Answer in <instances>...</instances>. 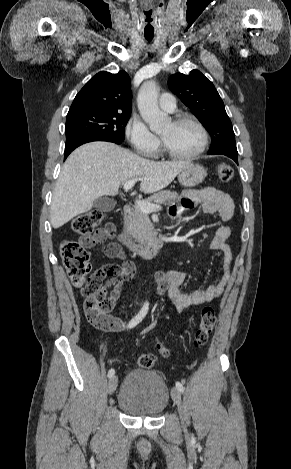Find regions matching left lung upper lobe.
Masks as SVG:
<instances>
[{"label":"left lung upper lobe","instance_id":"5c2ea615","mask_svg":"<svg viewBox=\"0 0 291 469\" xmlns=\"http://www.w3.org/2000/svg\"><path fill=\"white\" fill-rule=\"evenodd\" d=\"M168 85L209 131L212 144L208 153H238L232 123L211 81L195 69L188 75L176 73L170 76Z\"/></svg>","mask_w":291,"mask_h":469}]
</instances>
